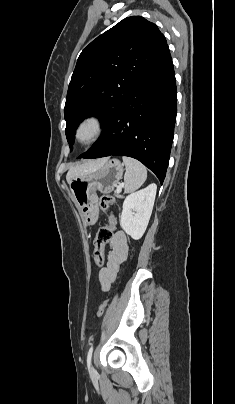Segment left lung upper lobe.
<instances>
[{
	"mask_svg": "<svg viewBox=\"0 0 235 404\" xmlns=\"http://www.w3.org/2000/svg\"><path fill=\"white\" fill-rule=\"evenodd\" d=\"M167 49L158 27L141 16L127 17L93 40L81 52L69 84L64 108L67 141L74 143L78 124L90 114L101 116L105 128Z\"/></svg>",
	"mask_w": 235,
	"mask_h": 404,
	"instance_id": "obj_1",
	"label": "left lung upper lobe"
}]
</instances>
